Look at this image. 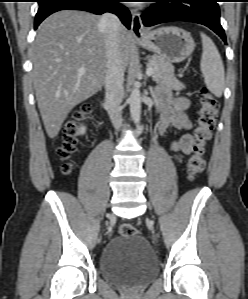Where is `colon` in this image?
I'll return each instance as SVG.
<instances>
[{"instance_id":"colon-1","label":"colon","mask_w":248,"mask_h":299,"mask_svg":"<svg viewBox=\"0 0 248 299\" xmlns=\"http://www.w3.org/2000/svg\"><path fill=\"white\" fill-rule=\"evenodd\" d=\"M218 109L219 103L214 94L205 87L201 88L199 92L198 118L194 130L193 150L187 161V173L190 180L195 179L204 170L205 150L212 135ZM90 111L91 106L89 104L82 105L75 114L74 120L65 126V137L58 147V154L63 162L61 169L64 174H68L72 170V164L69 160L76 150L77 122L84 119ZM119 233L122 236H134L137 234V230L133 225L124 223L120 225Z\"/></svg>"}]
</instances>
